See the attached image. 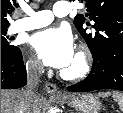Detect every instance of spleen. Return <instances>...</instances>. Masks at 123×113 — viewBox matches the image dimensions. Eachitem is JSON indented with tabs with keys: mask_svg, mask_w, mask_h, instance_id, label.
<instances>
[{
	"mask_svg": "<svg viewBox=\"0 0 123 113\" xmlns=\"http://www.w3.org/2000/svg\"><path fill=\"white\" fill-rule=\"evenodd\" d=\"M111 93L110 92H105V93H99V96H109ZM113 98L117 101L120 110L123 112V94L114 91L112 93Z\"/></svg>",
	"mask_w": 123,
	"mask_h": 113,
	"instance_id": "3e777b00",
	"label": "spleen"
}]
</instances>
